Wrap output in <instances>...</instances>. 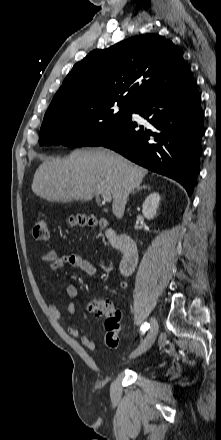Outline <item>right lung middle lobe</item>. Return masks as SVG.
<instances>
[{
	"label": "right lung middle lobe",
	"mask_w": 221,
	"mask_h": 440,
	"mask_svg": "<svg viewBox=\"0 0 221 440\" xmlns=\"http://www.w3.org/2000/svg\"><path fill=\"white\" fill-rule=\"evenodd\" d=\"M117 107L121 109L118 111ZM133 106L107 103L72 105L47 111L39 134L40 145L101 146L130 117Z\"/></svg>",
	"instance_id": "dd1d6c3e"
}]
</instances>
